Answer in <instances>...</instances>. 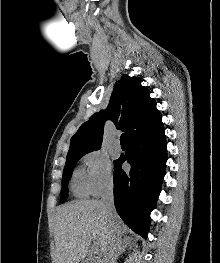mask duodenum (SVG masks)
Masks as SVG:
<instances>
[{"mask_svg":"<svg viewBox=\"0 0 220 263\" xmlns=\"http://www.w3.org/2000/svg\"><path fill=\"white\" fill-rule=\"evenodd\" d=\"M82 263H88V262H86V261H83Z\"/></svg>","mask_w":220,"mask_h":263,"instance_id":"410a0bca","label":"duodenum"}]
</instances>
